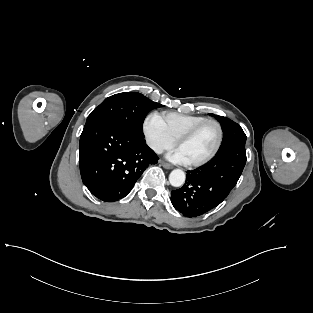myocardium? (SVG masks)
<instances>
[{
    "label": "myocardium",
    "instance_id": "obj_1",
    "mask_svg": "<svg viewBox=\"0 0 313 313\" xmlns=\"http://www.w3.org/2000/svg\"><path fill=\"white\" fill-rule=\"evenodd\" d=\"M207 124H214L217 128L218 137H217L216 145H215L214 149L211 151V153L209 155H207L205 158L198 160V161H195V162H189L188 164L192 167H200V166L207 164L219 152L221 145H222V142H223V136H224V132H223V128H222L221 123L219 121H217L216 119H210V118L206 119V120L196 124L195 126L190 128L186 132H184L176 140V145L177 146L181 145L182 143L190 140L199 130H201Z\"/></svg>",
    "mask_w": 313,
    "mask_h": 313
}]
</instances>
